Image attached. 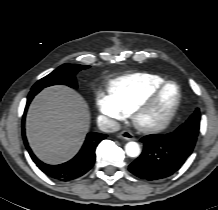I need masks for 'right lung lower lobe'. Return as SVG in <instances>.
<instances>
[{
    "instance_id": "right-lung-lower-lobe-1",
    "label": "right lung lower lobe",
    "mask_w": 218,
    "mask_h": 210,
    "mask_svg": "<svg viewBox=\"0 0 218 210\" xmlns=\"http://www.w3.org/2000/svg\"><path fill=\"white\" fill-rule=\"evenodd\" d=\"M36 95V94H35ZM34 94L29 93L27 98V104L25 108V113L27 108L35 96ZM25 116V115H24ZM24 124V123H23ZM107 135L101 133H89L86 137V140L79 151V153L70 161L60 164V165H48L41 162L31 151L25 132L23 129V139L25 146L35 164L39 167V169L48 175L51 178L60 180V181H69L75 178H78L85 173H87L95 162V149L98 143L105 139Z\"/></svg>"
}]
</instances>
